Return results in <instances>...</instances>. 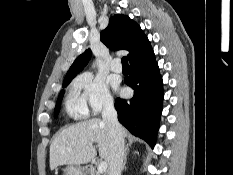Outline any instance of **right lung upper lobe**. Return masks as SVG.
<instances>
[{
    "instance_id": "right-lung-upper-lobe-1",
    "label": "right lung upper lobe",
    "mask_w": 233,
    "mask_h": 175,
    "mask_svg": "<svg viewBox=\"0 0 233 175\" xmlns=\"http://www.w3.org/2000/svg\"><path fill=\"white\" fill-rule=\"evenodd\" d=\"M101 41L111 50H127L129 62L136 60L152 48L151 44L140 26L125 15H114L110 18L108 26L100 33ZM91 58V50L87 49L76 58L68 70L64 81L72 80Z\"/></svg>"
}]
</instances>
